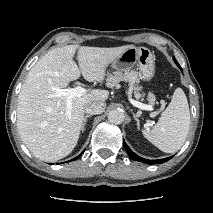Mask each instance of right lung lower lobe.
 <instances>
[{
  "mask_svg": "<svg viewBox=\"0 0 213 213\" xmlns=\"http://www.w3.org/2000/svg\"><path fill=\"white\" fill-rule=\"evenodd\" d=\"M79 158V156H77L76 158H74L73 160H76V159H78Z\"/></svg>",
  "mask_w": 213,
  "mask_h": 213,
  "instance_id": "98d812e1",
  "label": "right lung lower lobe"
}]
</instances>
